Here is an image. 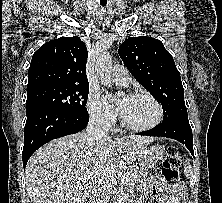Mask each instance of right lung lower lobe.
Instances as JSON below:
<instances>
[{
  "label": "right lung lower lobe",
  "instance_id": "right-lung-lower-lobe-1",
  "mask_svg": "<svg viewBox=\"0 0 222 203\" xmlns=\"http://www.w3.org/2000/svg\"><path fill=\"white\" fill-rule=\"evenodd\" d=\"M89 121L88 112L42 109L27 115L22 153L23 167L30 156L45 143L82 131Z\"/></svg>",
  "mask_w": 222,
  "mask_h": 203
}]
</instances>
